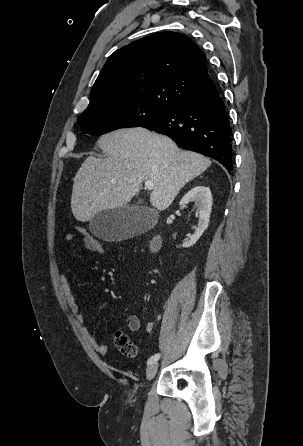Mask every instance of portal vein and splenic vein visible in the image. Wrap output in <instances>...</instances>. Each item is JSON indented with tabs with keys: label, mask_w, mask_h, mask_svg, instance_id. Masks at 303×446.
I'll return each instance as SVG.
<instances>
[{
	"label": "portal vein and splenic vein",
	"mask_w": 303,
	"mask_h": 446,
	"mask_svg": "<svg viewBox=\"0 0 303 446\" xmlns=\"http://www.w3.org/2000/svg\"><path fill=\"white\" fill-rule=\"evenodd\" d=\"M145 187H146L147 189H149V190H152L153 187H154L152 181H150V180H146V181H145Z\"/></svg>",
	"instance_id": "portal-vein-and-splenic-vein-1"
}]
</instances>
